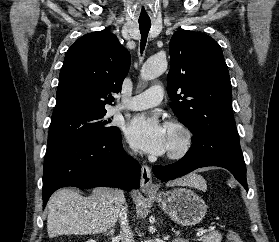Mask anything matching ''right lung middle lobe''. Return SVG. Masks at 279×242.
I'll list each match as a JSON object with an SVG mask.
<instances>
[{
  "label": "right lung middle lobe",
  "instance_id": "right-lung-middle-lobe-1",
  "mask_svg": "<svg viewBox=\"0 0 279 242\" xmlns=\"http://www.w3.org/2000/svg\"><path fill=\"white\" fill-rule=\"evenodd\" d=\"M106 110L78 109L52 115L46 153L84 142H98L120 133L105 120Z\"/></svg>",
  "mask_w": 279,
  "mask_h": 242
}]
</instances>
